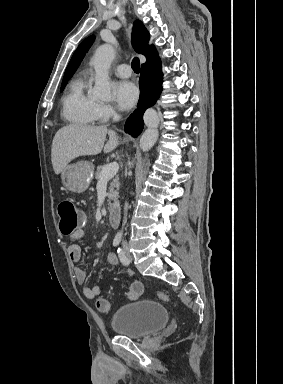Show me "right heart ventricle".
Listing matches in <instances>:
<instances>
[{
  "label": "right heart ventricle",
  "mask_w": 283,
  "mask_h": 384,
  "mask_svg": "<svg viewBox=\"0 0 283 384\" xmlns=\"http://www.w3.org/2000/svg\"><path fill=\"white\" fill-rule=\"evenodd\" d=\"M61 114L75 127H91L100 120L99 102L86 92L83 74H77L69 81L61 100Z\"/></svg>",
  "instance_id": "e07e8e85"
}]
</instances>
